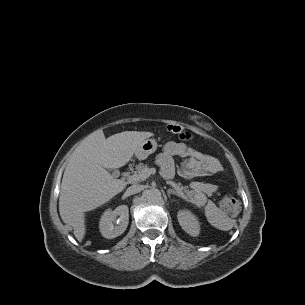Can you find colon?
Returning <instances> with one entry per match:
<instances>
[{
	"mask_svg": "<svg viewBox=\"0 0 305 305\" xmlns=\"http://www.w3.org/2000/svg\"><path fill=\"white\" fill-rule=\"evenodd\" d=\"M167 130L172 134L184 136L183 128L178 125H168ZM221 207L228 216L233 217L239 212L240 203L235 197L226 195L221 199Z\"/></svg>",
	"mask_w": 305,
	"mask_h": 305,
	"instance_id": "colon-1",
	"label": "colon"
}]
</instances>
